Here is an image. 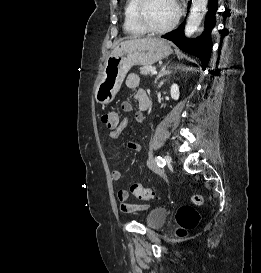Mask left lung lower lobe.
I'll list each match as a JSON object with an SVG mask.
<instances>
[{
  "instance_id": "left-lung-lower-lobe-1",
  "label": "left lung lower lobe",
  "mask_w": 261,
  "mask_h": 273,
  "mask_svg": "<svg viewBox=\"0 0 261 273\" xmlns=\"http://www.w3.org/2000/svg\"><path fill=\"white\" fill-rule=\"evenodd\" d=\"M217 8V0H209L208 12L205 18V31L195 40H188L185 38L184 24H182L178 30L169 32L161 37L172 41L181 50L197 56L203 64V69H205L209 62L210 53L212 50L210 32L215 25V14Z\"/></svg>"
}]
</instances>
